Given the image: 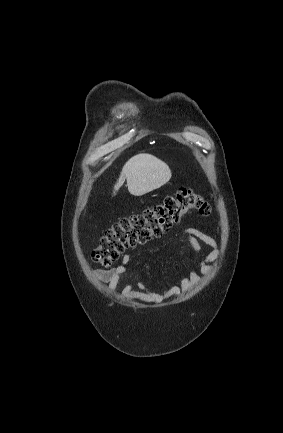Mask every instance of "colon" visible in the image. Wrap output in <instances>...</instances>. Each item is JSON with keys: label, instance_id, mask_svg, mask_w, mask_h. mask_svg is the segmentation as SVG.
<instances>
[{"label": "colon", "instance_id": "colon-1", "mask_svg": "<svg viewBox=\"0 0 283 433\" xmlns=\"http://www.w3.org/2000/svg\"><path fill=\"white\" fill-rule=\"evenodd\" d=\"M189 212L208 217L212 209L208 201L196 191L180 188L174 195L167 196L162 203L114 223L100 238L92 257L94 261L108 267L127 249L161 237Z\"/></svg>", "mask_w": 283, "mask_h": 433}]
</instances>
